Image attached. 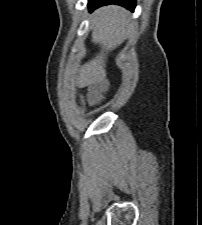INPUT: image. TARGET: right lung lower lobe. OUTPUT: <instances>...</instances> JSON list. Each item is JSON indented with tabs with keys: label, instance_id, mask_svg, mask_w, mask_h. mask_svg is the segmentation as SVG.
<instances>
[{
	"label": "right lung lower lobe",
	"instance_id": "1",
	"mask_svg": "<svg viewBox=\"0 0 202 225\" xmlns=\"http://www.w3.org/2000/svg\"><path fill=\"white\" fill-rule=\"evenodd\" d=\"M107 4H117L131 11H134V8L136 6V0H89L88 2L90 11H93L94 9L100 6L107 5Z\"/></svg>",
	"mask_w": 202,
	"mask_h": 225
}]
</instances>
